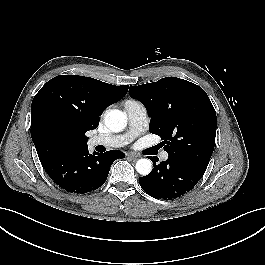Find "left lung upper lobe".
<instances>
[{
	"label": "left lung upper lobe",
	"mask_w": 265,
	"mask_h": 265,
	"mask_svg": "<svg viewBox=\"0 0 265 265\" xmlns=\"http://www.w3.org/2000/svg\"><path fill=\"white\" fill-rule=\"evenodd\" d=\"M129 94L146 107L150 132L161 137L169 158L205 171L217 128L216 112L206 92L184 79L166 77L130 86Z\"/></svg>",
	"instance_id": "left-lung-upper-lobe-1"
}]
</instances>
